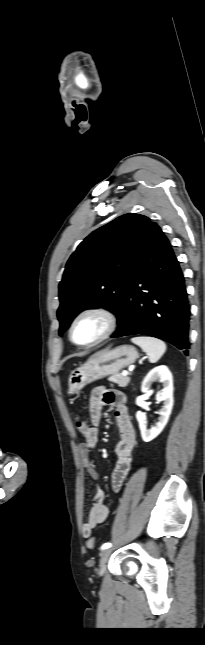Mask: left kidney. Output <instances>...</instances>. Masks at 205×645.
Listing matches in <instances>:
<instances>
[{
    "mask_svg": "<svg viewBox=\"0 0 205 645\" xmlns=\"http://www.w3.org/2000/svg\"><path fill=\"white\" fill-rule=\"evenodd\" d=\"M159 380L163 383V390L157 394V400L163 402V407L158 412L159 421L150 429L146 427L145 413L138 411L136 418L139 423L143 441L149 442L156 438L166 426L173 407V378L168 367L165 365L157 366L152 369L144 378L141 386L142 393L150 391L151 384Z\"/></svg>",
    "mask_w": 205,
    "mask_h": 645,
    "instance_id": "left-kidney-1",
    "label": "left kidney"
}]
</instances>
